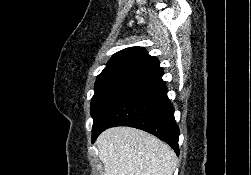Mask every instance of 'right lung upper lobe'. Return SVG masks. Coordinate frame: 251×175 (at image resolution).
<instances>
[{"label":"right lung upper lobe","mask_w":251,"mask_h":175,"mask_svg":"<svg viewBox=\"0 0 251 175\" xmlns=\"http://www.w3.org/2000/svg\"><path fill=\"white\" fill-rule=\"evenodd\" d=\"M163 75L156 57L150 56L143 47H129L114 54L97 80L129 76L146 80Z\"/></svg>","instance_id":"cb5924a9"}]
</instances>
